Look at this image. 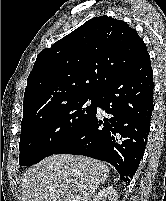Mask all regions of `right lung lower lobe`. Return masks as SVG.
Instances as JSON below:
<instances>
[{"label":"right lung lower lobe","mask_w":166,"mask_h":201,"mask_svg":"<svg viewBox=\"0 0 166 201\" xmlns=\"http://www.w3.org/2000/svg\"><path fill=\"white\" fill-rule=\"evenodd\" d=\"M153 71L148 53L96 95L91 119L54 154L83 155L112 164L127 185L147 144L153 111ZM97 107L105 111L97 114Z\"/></svg>","instance_id":"obj_1"}]
</instances>
